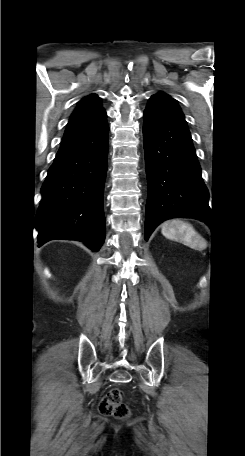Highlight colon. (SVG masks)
<instances>
[{
    "instance_id": "obj_1",
    "label": "colon",
    "mask_w": 245,
    "mask_h": 456,
    "mask_svg": "<svg viewBox=\"0 0 245 456\" xmlns=\"http://www.w3.org/2000/svg\"><path fill=\"white\" fill-rule=\"evenodd\" d=\"M99 412L118 419L127 418L130 411L124 403L123 391L119 388L110 389L99 403Z\"/></svg>"
}]
</instances>
